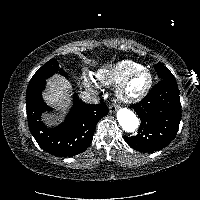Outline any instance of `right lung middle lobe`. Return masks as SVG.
Returning <instances> with one entry per match:
<instances>
[{
  "instance_id": "1",
  "label": "right lung middle lobe",
  "mask_w": 200,
  "mask_h": 200,
  "mask_svg": "<svg viewBox=\"0 0 200 200\" xmlns=\"http://www.w3.org/2000/svg\"><path fill=\"white\" fill-rule=\"evenodd\" d=\"M58 72L64 77H67V73L62 68H59L57 60L51 59L46 64H44L40 69H38V71L31 78L29 84H32L37 81H43L46 78Z\"/></svg>"
}]
</instances>
